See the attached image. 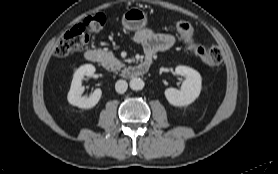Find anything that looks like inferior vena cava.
<instances>
[{"instance_id": "inferior-vena-cava-1", "label": "inferior vena cava", "mask_w": 278, "mask_h": 174, "mask_svg": "<svg viewBox=\"0 0 278 174\" xmlns=\"http://www.w3.org/2000/svg\"><path fill=\"white\" fill-rule=\"evenodd\" d=\"M127 87L128 84L125 80H118L115 84V90L120 94L126 92Z\"/></svg>"}]
</instances>
